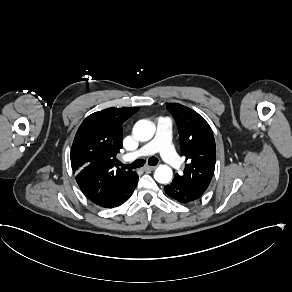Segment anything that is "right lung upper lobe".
<instances>
[{"label": "right lung upper lobe", "mask_w": 292, "mask_h": 292, "mask_svg": "<svg viewBox=\"0 0 292 292\" xmlns=\"http://www.w3.org/2000/svg\"><path fill=\"white\" fill-rule=\"evenodd\" d=\"M139 108H108L89 115L80 125L71 148V166L82 192L95 204L118 194L136 175L118 167L122 124Z\"/></svg>", "instance_id": "obj_1"}]
</instances>
